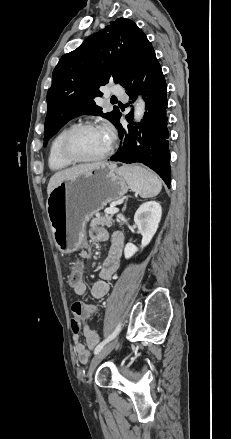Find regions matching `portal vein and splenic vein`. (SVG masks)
Wrapping results in <instances>:
<instances>
[{
	"label": "portal vein and splenic vein",
	"instance_id": "obj_1",
	"mask_svg": "<svg viewBox=\"0 0 231 439\" xmlns=\"http://www.w3.org/2000/svg\"><path fill=\"white\" fill-rule=\"evenodd\" d=\"M118 211H119V209L115 208V207H110V208L105 209V213L111 214V215L116 214Z\"/></svg>",
	"mask_w": 231,
	"mask_h": 439
}]
</instances>
